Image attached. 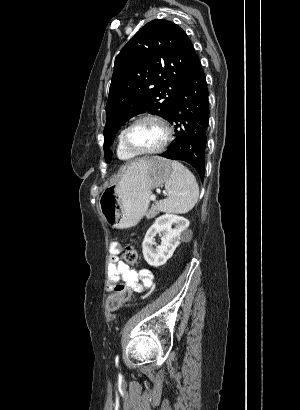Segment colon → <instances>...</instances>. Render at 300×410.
Returning a JSON list of instances; mask_svg holds the SVG:
<instances>
[{
    "mask_svg": "<svg viewBox=\"0 0 300 410\" xmlns=\"http://www.w3.org/2000/svg\"><path fill=\"white\" fill-rule=\"evenodd\" d=\"M138 258L137 249L127 245L122 249V259L126 263H135ZM132 296L131 288L126 284H117L107 298V308L114 311L125 304Z\"/></svg>",
    "mask_w": 300,
    "mask_h": 410,
    "instance_id": "obj_1",
    "label": "colon"
}]
</instances>
